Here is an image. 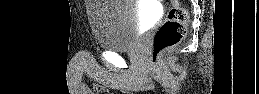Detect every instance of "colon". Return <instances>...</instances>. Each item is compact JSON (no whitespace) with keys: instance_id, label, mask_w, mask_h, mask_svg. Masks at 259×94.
Returning <instances> with one entry per match:
<instances>
[{"instance_id":"obj_1","label":"colon","mask_w":259,"mask_h":94,"mask_svg":"<svg viewBox=\"0 0 259 94\" xmlns=\"http://www.w3.org/2000/svg\"><path fill=\"white\" fill-rule=\"evenodd\" d=\"M187 22V9L179 1L172 0L165 21L156 30L152 39L149 57L151 66H156L160 55L185 37Z\"/></svg>"}]
</instances>
